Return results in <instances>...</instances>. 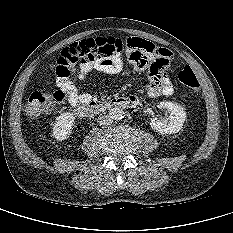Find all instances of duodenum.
Listing matches in <instances>:
<instances>
[{"label":"duodenum","mask_w":233,"mask_h":233,"mask_svg":"<svg viewBox=\"0 0 233 233\" xmlns=\"http://www.w3.org/2000/svg\"><path fill=\"white\" fill-rule=\"evenodd\" d=\"M137 104L138 98L136 96L117 97L110 101H91L81 104L77 107L76 113L81 117L90 118L116 108H134Z\"/></svg>","instance_id":"obj_1"}]
</instances>
